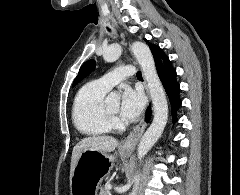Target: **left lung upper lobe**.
<instances>
[{
	"instance_id": "1",
	"label": "left lung upper lobe",
	"mask_w": 240,
	"mask_h": 195,
	"mask_svg": "<svg viewBox=\"0 0 240 195\" xmlns=\"http://www.w3.org/2000/svg\"><path fill=\"white\" fill-rule=\"evenodd\" d=\"M145 41H147L146 39H144ZM150 49L152 51L154 60L157 61L159 59H161L162 57L166 56L165 53L163 52V50L154 44H149ZM95 60H89L87 62H85L82 67L80 68V71L77 75V77L75 78L73 85H76L79 81H81L83 78H85L95 67Z\"/></svg>"
}]
</instances>
